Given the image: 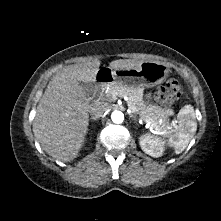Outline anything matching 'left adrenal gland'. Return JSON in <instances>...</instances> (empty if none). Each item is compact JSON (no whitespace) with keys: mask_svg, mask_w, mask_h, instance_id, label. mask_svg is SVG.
Returning <instances> with one entry per match:
<instances>
[{"mask_svg":"<svg viewBox=\"0 0 221 221\" xmlns=\"http://www.w3.org/2000/svg\"><path fill=\"white\" fill-rule=\"evenodd\" d=\"M129 117L133 118L137 122L136 116H134L133 114H129Z\"/></svg>","mask_w":221,"mask_h":221,"instance_id":"obj_1","label":"left adrenal gland"}]
</instances>
